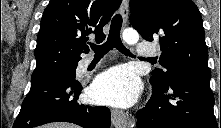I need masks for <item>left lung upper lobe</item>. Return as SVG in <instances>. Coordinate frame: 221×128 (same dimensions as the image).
Here are the masks:
<instances>
[{
    "instance_id": "obj_1",
    "label": "left lung upper lobe",
    "mask_w": 221,
    "mask_h": 128,
    "mask_svg": "<svg viewBox=\"0 0 221 128\" xmlns=\"http://www.w3.org/2000/svg\"><path fill=\"white\" fill-rule=\"evenodd\" d=\"M130 22L147 41L158 40L162 69L150 83L166 86L179 74L211 77L201 14L191 0H130Z\"/></svg>"
}]
</instances>
